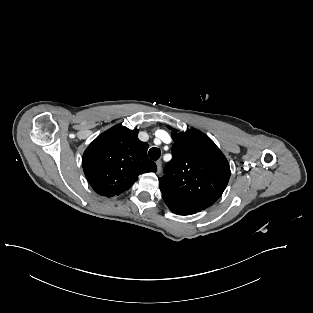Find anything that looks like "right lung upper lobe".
<instances>
[{
    "mask_svg": "<svg viewBox=\"0 0 313 313\" xmlns=\"http://www.w3.org/2000/svg\"><path fill=\"white\" fill-rule=\"evenodd\" d=\"M148 144L138 139V130L118 124L99 135L85 150L82 164L92 188L112 197L128 190L142 173L156 172L147 158Z\"/></svg>",
    "mask_w": 313,
    "mask_h": 313,
    "instance_id": "obj_1",
    "label": "right lung upper lobe"
}]
</instances>
